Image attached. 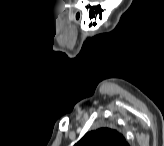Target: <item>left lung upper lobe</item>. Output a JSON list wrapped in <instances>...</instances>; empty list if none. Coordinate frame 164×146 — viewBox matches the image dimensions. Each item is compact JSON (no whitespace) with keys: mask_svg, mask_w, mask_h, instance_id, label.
<instances>
[{"mask_svg":"<svg viewBox=\"0 0 164 146\" xmlns=\"http://www.w3.org/2000/svg\"><path fill=\"white\" fill-rule=\"evenodd\" d=\"M75 146H128V143L117 130L99 128L87 132Z\"/></svg>","mask_w":164,"mask_h":146,"instance_id":"left-lung-upper-lobe-1","label":"left lung upper lobe"}]
</instances>
